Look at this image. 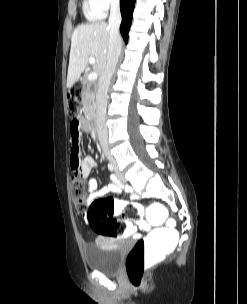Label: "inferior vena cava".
<instances>
[{"instance_id": "1", "label": "inferior vena cava", "mask_w": 247, "mask_h": 304, "mask_svg": "<svg viewBox=\"0 0 247 304\" xmlns=\"http://www.w3.org/2000/svg\"><path fill=\"white\" fill-rule=\"evenodd\" d=\"M121 24V14L119 0H112L109 27H110V38L109 48L107 54V63L102 75L99 78L98 90L96 93V114H95V128L98 134V139L102 150L106 158L112 164H115V160L110 154L108 146V130L106 126V109H107V98L108 89L115 72L118 58L121 52V37L119 33V27Z\"/></svg>"}]
</instances>
